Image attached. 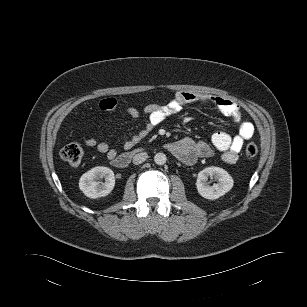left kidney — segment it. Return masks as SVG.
Returning a JSON list of instances; mask_svg holds the SVG:
<instances>
[{
  "label": "left kidney",
  "mask_w": 307,
  "mask_h": 307,
  "mask_svg": "<svg viewBox=\"0 0 307 307\" xmlns=\"http://www.w3.org/2000/svg\"><path fill=\"white\" fill-rule=\"evenodd\" d=\"M208 177L215 178L217 183L210 186L207 182ZM233 184L234 181L227 171L220 167L211 166L198 173L196 188L202 197L215 200L229 192Z\"/></svg>",
  "instance_id": "left-kidney-1"
}]
</instances>
